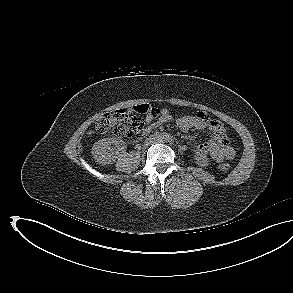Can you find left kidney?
I'll list each match as a JSON object with an SVG mask.
<instances>
[{
    "label": "left kidney",
    "instance_id": "obj_1",
    "mask_svg": "<svg viewBox=\"0 0 293 293\" xmlns=\"http://www.w3.org/2000/svg\"><path fill=\"white\" fill-rule=\"evenodd\" d=\"M196 163L201 167H206L209 165V158L205 154H198L195 156Z\"/></svg>",
    "mask_w": 293,
    "mask_h": 293
}]
</instances>
